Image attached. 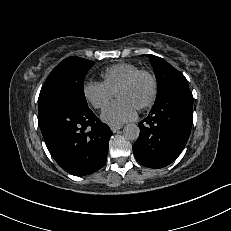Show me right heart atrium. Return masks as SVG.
Instances as JSON below:
<instances>
[{"label":"right heart atrium","mask_w":231,"mask_h":231,"mask_svg":"<svg viewBox=\"0 0 231 231\" xmlns=\"http://www.w3.org/2000/svg\"><path fill=\"white\" fill-rule=\"evenodd\" d=\"M84 98L98 110L104 109L113 97V92L103 82L85 81L82 85Z\"/></svg>","instance_id":"right-heart-atrium-1"}]
</instances>
